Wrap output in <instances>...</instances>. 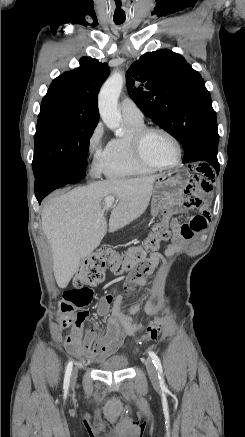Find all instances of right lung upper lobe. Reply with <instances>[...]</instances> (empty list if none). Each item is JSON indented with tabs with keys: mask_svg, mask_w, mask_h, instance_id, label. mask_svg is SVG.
<instances>
[{
	"mask_svg": "<svg viewBox=\"0 0 245 437\" xmlns=\"http://www.w3.org/2000/svg\"><path fill=\"white\" fill-rule=\"evenodd\" d=\"M80 65L53 80L42 100L41 109L59 108L99 121L98 92L110 69L106 63L91 57H82Z\"/></svg>",
	"mask_w": 245,
	"mask_h": 437,
	"instance_id": "cb5924a9",
	"label": "right lung upper lobe"
}]
</instances>
